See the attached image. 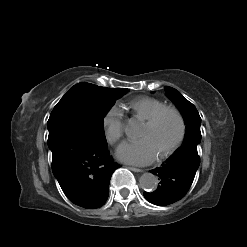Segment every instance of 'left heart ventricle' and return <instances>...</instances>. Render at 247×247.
<instances>
[{
    "mask_svg": "<svg viewBox=\"0 0 247 247\" xmlns=\"http://www.w3.org/2000/svg\"><path fill=\"white\" fill-rule=\"evenodd\" d=\"M177 133V119L172 114H166L153 127L143 125L139 138H146L150 140L159 154L173 142Z\"/></svg>",
    "mask_w": 247,
    "mask_h": 247,
    "instance_id": "obj_1",
    "label": "left heart ventricle"
}]
</instances>
